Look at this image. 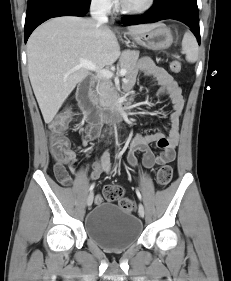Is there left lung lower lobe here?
I'll return each instance as SVG.
<instances>
[{
	"mask_svg": "<svg viewBox=\"0 0 231 281\" xmlns=\"http://www.w3.org/2000/svg\"><path fill=\"white\" fill-rule=\"evenodd\" d=\"M163 19H174L185 23L195 34L200 44L199 16L196 0H158L144 16H126L124 25L153 23Z\"/></svg>",
	"mask_w": 231,
	"mask_h": 281,
	"instance_id": "1",
	"label": "left lung lower lobe"
}]
</instances>
